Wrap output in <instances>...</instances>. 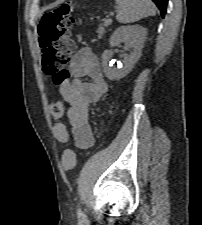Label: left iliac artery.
<instances>
[{
	"mask_svg": "<svg viewBox=\"0 0 202 225\" xmlns=\"http://www.w3.org/2000/svg\"><path fill=\"white\" fill-rule=\"evenodd\" d=\"M77 213H78L79 216L83 215V213H82L80 208H78Z\"/></svg>",
	"mask_w": 202,
	"mask_h": 225,
	"instance_id": "44dca946",
	"label": "left iliac artery"
}]
</instances>
